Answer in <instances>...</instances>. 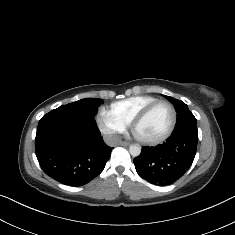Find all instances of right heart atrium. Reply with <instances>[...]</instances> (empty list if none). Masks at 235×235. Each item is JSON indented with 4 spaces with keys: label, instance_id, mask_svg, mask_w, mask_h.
<instances>
[{
    "label": "right heart atrium",
    "instance_id": "obj_1",
    "mask_svg": "<svg viewBox=\"0 0 235 235\" xmlns=\"http://www.w3.org/2000/svg\"><path fill=\"white\" fill-rule=\"evenodd\" d=\"M95 119L100 130L114 142L119 141V136L126 129V126L104 106L99 107Z\"/></svg>",
    "mask_w": 235,
    "mask_h": 235
}]
</instances>
